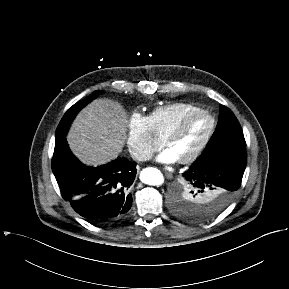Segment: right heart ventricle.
<instances>
[{
    "mask_svg": "<svg viewBox=\"0 0 289 289\" xmlns=\"http://www.w3.org/2000/svg\"><path fill=\"white\" fill-rule=\"evenodd\" d=\"M198 109L192 103L175 102L154 108L148 118L154 133L163 140L185 115Z\"/></svg>",
    "mask_w": 289,
    "mask_h": 289,
    "instance_id": "right-heart-ventricle-1",
    "label": "right heart ventricle"
}]
</instances>
